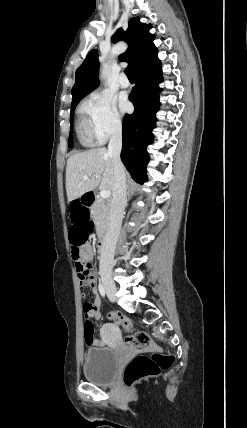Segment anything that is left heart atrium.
<instances>
[{
    "label": "left heart atrium",
    "instance_id": "left-heart-atrium-1",
    "mask_svg": "<svg viewBox=\"0 0 247 428\" xmlns=\"http://www.w3.org/2000/svg\"><path fill=\"white\" fill-rule=\"evenodd\" d=\"M119 108L122 112H126L130 108V103L125 96L119 97Z\"/></svg>",
    "mask_w": 247,
    "mask_h": 428
}]
</instances>
